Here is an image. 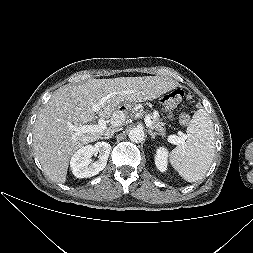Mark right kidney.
Segmentation results:
<instances>
[{
    "instance_id": "ca27d5eb",
    "label": "right kidney",
    "mask_w": 253,
    "mask_h": 253,
    "mask_svg": "<svg viewBox=\"0 0 253 253\" xmlns=\"http://www.w3.org/2000/svg\"><path fill=\"white\" fill-rule=\"evenodd\" d=\"M110 150L108 142H97L95 145H86L78 149L70 161L74 176L88 178L97 175L105 168ZM96 154H99L98 160L92 163L91 157Z\"/></svg>"
}]
</instances>
